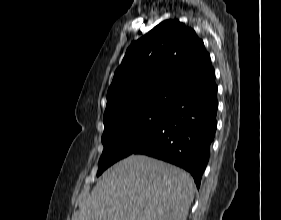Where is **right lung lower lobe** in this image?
Segmentation results:
<instances>
[{"mask_svg":"<svg viewBox=\"0 0 281 220\" xmlns=\"http://www.w3.org/2000/svg\"><path fill=\"white\" fill-rule=\"evenodd\" d=\"M217 85L186 95L168 110L163 125L133 154L148 155L188 171L200 187L217 128Z\"/></svg>","mask_w":281,"mask_h":220,"instance_id":"1","label":"right lung lower lobe"}]
</instances>
